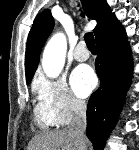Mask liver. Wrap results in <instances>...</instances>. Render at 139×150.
I'll return each mask as SVG.
<instances>
[{
    "instance_id": "obj_1",
    "label": "liver",
    "mask_w": 139,
    "mask_h": 150,
    "mask_svg": "<svg viewBox=\"0 0 139 150\" xmlns=\"http://www.w3.org/2000/svg\"><path fill=\"white\" fill-rule=\"evenodd\" d=\"M77 150L73 135L68 129L36 135L27 150Z\"/></svg>"
}]
</instances>
